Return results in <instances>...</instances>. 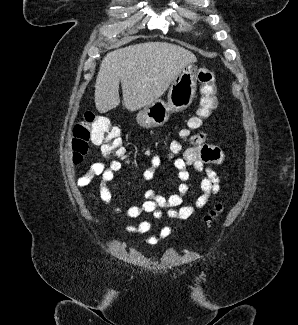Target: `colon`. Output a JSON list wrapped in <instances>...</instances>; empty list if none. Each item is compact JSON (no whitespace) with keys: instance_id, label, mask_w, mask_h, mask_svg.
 I'll use <instances>...</instances> for the list:
<instances>
[{"instance_id":"obj_1","label":"colon","mask_w":298,"mask_h":325,"mask_svg":"<svg viewBox=\"0 0 298 325\" xmlns=\"http://www.w3.org/2000/svg\"><path fill=\"white\" fill-rule=\"evenodd\" d=\"M199 82L200 99L195 116L189 119L188 129H198L208 120L217 105L215 75L210 66H202L197 73ZM189 130L181 131L185 138ZM89 143L100 145L102 152L116 158L125 157V149L122 146L120 130L114 126L107 117L87 112L83 119L73 128L72 158L75 164L80 163L87 154ZM170 150L176 154L181 150L179 142L171 143ZM222 210V205L217 204L206 216L205 221L210 223Z\"/></svg>"}]
</instances>
